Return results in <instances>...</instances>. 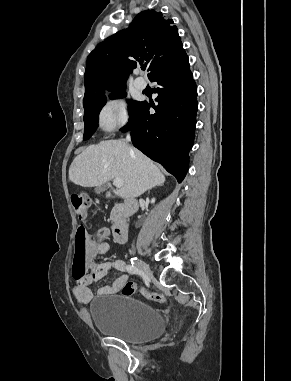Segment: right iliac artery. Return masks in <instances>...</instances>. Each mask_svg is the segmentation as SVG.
<instances>
[{"mask_svg":"<svg viewBox=\"0 0 291 381\" xmlns=\"http://www.w3.org/2000/svg\"><path fill=\"white\" fill-rule=\"evenodd\" d=\"M126 270L132 274H138L140 272L139 269L133 265V261L132 264L126 265Z\"/></svg>","mask_w":291,"mask_h":381,"instance_id":"1","label":"right iliac artery"}]
</instances>
